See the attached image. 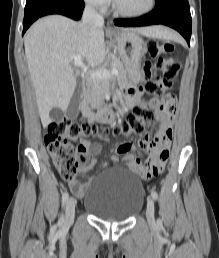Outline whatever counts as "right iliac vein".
Segmentation results:
<instances>
[{
	"label": "right iliac vein",
	"mask_w": 219,
	"mask_h": 258,
	"mask_svg": "<svg viewBox=\"0 0 219 258\" xmlns=\"http://www.w3.org/2000/svg\"><path fill=\"white\" fill-rule=\"evenodd\" d=\"M75 206H76L75 199L70 198L67 201V204H66V211H65V221H66V223L73 222L74 216H75Z\"/></svg>",
	"instance_id": "63e3f726"
}]
</instances>
